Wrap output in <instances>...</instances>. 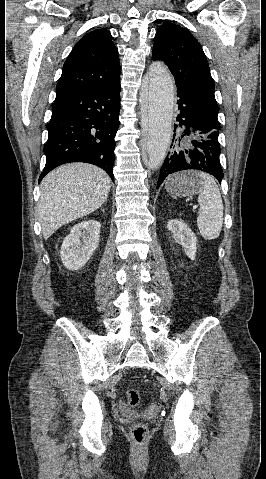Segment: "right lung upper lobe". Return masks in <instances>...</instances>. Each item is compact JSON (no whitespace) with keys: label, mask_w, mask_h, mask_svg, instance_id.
I'll return each mask as SVG.
<instances>
[{"label":"right lung upper lobe","mask_w":266,"mask_h":479,"mask_svg":"<svg viewBox=\"0 0 266 479\" xmlns=\"http://www.w3.org/2000/svg\"><path fill=\"white\" fill-rule=\"evenodd\" d=\"M120 79L118 50L108 30L98 29L80 39L66 59L56 94L88 89Z\"/></svg>","instance_id":"obj_1"}]
</instances>
